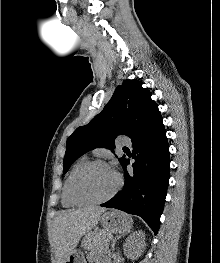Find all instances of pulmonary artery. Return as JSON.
I'll list each match as a JSON object with an SVG mask.
<instances>
[{"instance_id":"obj_1","label":"pulmonary artery","mask_w":220,"mask_h":263,"mask_svg":"<svg viewBox=\"0 0 220 263\" xmlns=\"http://www.w3.org/2000/svg\"><path fill=\"white\" fill-rule=\"evenodd\" d=\"M119 142L123 145H130L131 144V140L130 138L126 137V136H122L119 139Z\"/></svg>"}]
</instances>
